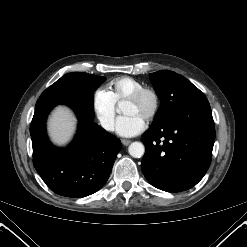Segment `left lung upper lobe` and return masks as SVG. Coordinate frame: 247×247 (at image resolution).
<instances>
[{"mask_svg":"<svg viewBox=\"0 0 247 247\" xmlns=\"http://www.w3.org/2000/svg\"><path fill=\"white\" fill-rule=\"evenodd\" d=\"M151 83L161 100L154 121L168 119L186 107L208 102L206 96L185 77L169 70L149 74Z\"/></svg>","mask_w":247,"mask_h":247,"instance_id":"left-lung-upper-lobe-1","label":"left lung upper lobe"}]
</instances>
